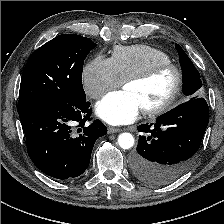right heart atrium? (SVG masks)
<instances>
[{"instance_id": "obj_1", "label": "right heart atrium", "mask_w": 224, "mask_h": 224, "mask_svg": "<svg viewBox=\"0 0 224 224\" xmlns=\"http://www.w3.org/2000/svg\"><path fill=\"white\" fill-rule=\"evenodd\" d=\"M82 84L87 95L97 99L109 90L119 87L122 80L111 59L98 55L84 66Z\"/></svg>"}]
</instances>
